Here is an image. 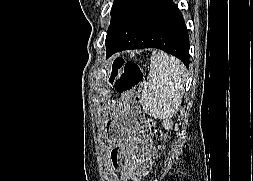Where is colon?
<instances>
[{
  "instance_id": "5ec220e1",
  "label": "colon",
  "mask_w": 253,
  "mask_h": 181,
  "mask_svg": "<svg viewBox=\"0 0 253 181\" xmlns=\"http://www.w3.org/2000/svg\"><path fill=\"white\" fill-rule=\"evenodd\" d=\"M114 72L121 70V74L118 78H114L117 90L122 93L133 92L139 97L142 90L143 71L141 66L134 62H124L120 59H116L113 63ZM157 140L162 139V134L155 131L153 134Z\"/></svg>"
}]
</instances>
